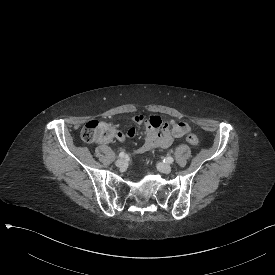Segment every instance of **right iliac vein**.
I'll return each mask as SVG.
<instances>
[{
    "instance_id": "obj_1",
    "label": "right iliac vein",
    "mask_w": 275,
    "mask_h": 275,
    "mask_svg": "<svg viewBox=\"0 0 275 275\" xmlns=\"http://www.w3.org/2000/svg\"><path fill=\"white\" fill-rule=\"evenodd\" d=\"M115 164H116L117 167L123 168V167L126 166L127 162H126L125 159L121 158V159L116 160Z\"/></svg>"
}]
</instances>
